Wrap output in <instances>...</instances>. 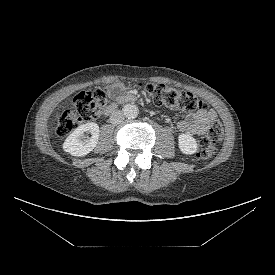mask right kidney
I'll list each match as a JSON object with an SVG mask.
<instances>
[{
    "label": "right kidney",
    "mask_w": 275,
    "mask_h": 275,
    "mask_svg": "<svg viewBox=\"0 0 275 275\" xmlns=\"http://www.w3.org/2000/svg\"><path fill=\"white\" fill-rule=\"evenodd\" d=\"M99 132V126L93 122L77 127L64 141V151L77 157L87 155L96 147ZM85 133H91V137Z\"/></svg>",
    "instance_id": "ca27d5eb"
}]
</instances>
